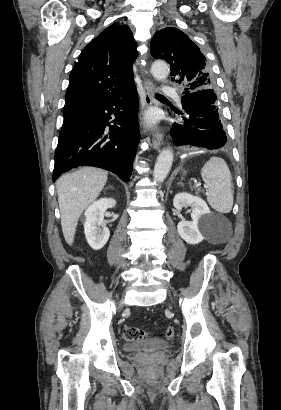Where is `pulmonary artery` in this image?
I'll use <instances>...</instances> for the list:
<instances>
[{
    "label": "pulmonary artery",
    "mask_w": 281,
    "mask_h": 410,
    "mask_svg": "<svg viewBox=\"0 0 281 410\" xmlns=\"http://www.w3.org/2000/svg\"><path fill=\"white\" fill-rule=\"evenodd\" d=\"M162 91H163L165 94H174V93H175V89H174L173 87H171V86L163 87ZM179 102H180V100H179Z\"/></svg>",
    "instance_id": "pulmonary-artery-1"
}]
</instances>
